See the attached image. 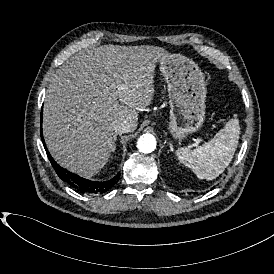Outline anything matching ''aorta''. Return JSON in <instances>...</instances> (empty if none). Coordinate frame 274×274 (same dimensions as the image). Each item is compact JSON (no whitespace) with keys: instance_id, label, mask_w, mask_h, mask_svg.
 Masks as SVG:
<instances>
[{"instance_id":"1","label":"aorta","mask_w":274,"mask_h":274,"mask_svg":"<svg viewBox=\"0 0 274 274\" xmlns=\"http://www.w3.org/2000/svg\"><path fill=\"white\" fill-rule=\"evenodd\" d=\"M137 148L142 153H151L156 148V139L151 134H143L137 142Z\"/></svg>"}]
</instances>
